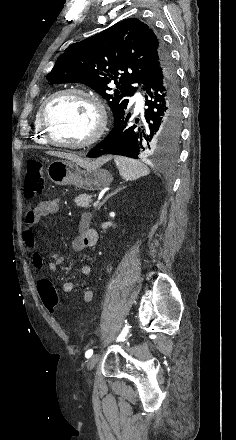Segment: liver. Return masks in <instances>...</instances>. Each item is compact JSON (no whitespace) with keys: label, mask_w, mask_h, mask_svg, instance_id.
Listing matches in <instances>:
<instances>
[{"label":"liver","mask_w":236,"mask_h":440,"mask_svg":"<svg viewBox=\"0 0 236 440\" xmlns=\"http://www.w3.org/2000/svg\"><path fill=\"white\" fill-rule=\"evenodd\" d=\"M47 154H49L51 156L60 157L63 159L72 160V161L79 163L82 166H88V167H93V168L100 167L101 165H103L106 161H108L111 158V157H103V158L97 159L96 161L88 162V161H86V160H84V159H82L72 153L49 151V152H47Z\"/></svg>","instance_id":"1"}]
</instances>
